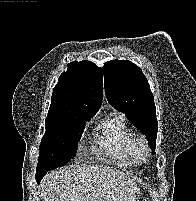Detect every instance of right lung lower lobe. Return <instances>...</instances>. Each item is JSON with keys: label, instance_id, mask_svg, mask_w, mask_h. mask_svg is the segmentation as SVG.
I'll use <instances>...</instances> for the list:
<instances>
[{"label": "right lung lower lobe", "instance_id": "98d812e1", "mask_svg": "<svg viewBox=\"0 0 196 201\" xmlns=\"http://www.w3.org/2000/svg\"><path fill=\"white\" fill-rule=\"evenodd\" d=\"M42 178H36L37 182L39 183L41 181Z\"/></svg>", "mask_w": 196, "mask_h": 201}]
</instances>
